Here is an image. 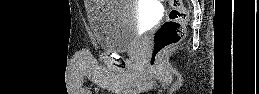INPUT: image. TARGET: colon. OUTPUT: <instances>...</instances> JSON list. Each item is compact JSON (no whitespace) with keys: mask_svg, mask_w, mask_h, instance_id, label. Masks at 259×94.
I'll return each mask as SVG.
<instances>
[{"mask_svg":"<svg viewBox=\"0 0 259 94\" xmlns=\"http://www.w3.org/2000/svg\"><path fill=\"white\" fill-rule=\"evenodd\" d=\"M170 9L165 21L157 28L153 35L150 66L158 63L162 52L178 43L185 35L188 20V10L182 0H168Z\"/></svg>","mask_w":259,"mask_h":94,"instance_id":"5ec220e1","label":"colon"}]
</instances>
